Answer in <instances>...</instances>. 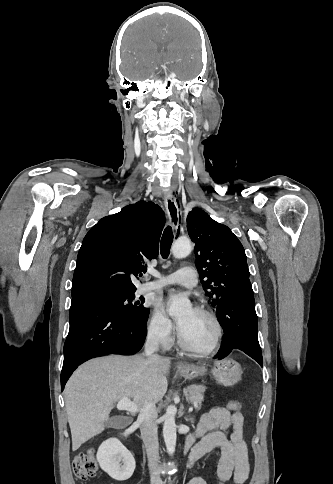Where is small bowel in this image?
Segmentation results:
<instances>
[{"label":"small bowel","mask_w":333,"mask_h":484,"mask_svg":"<svg viewBox=\"0 0 333 484\" xmlns=\"http://www.w3.org/2000/svg\"><path fill=\"white\" fill-rule=\"evenodd\" d=\"M196 438L199 442L192 448L190 464L199 458L220 448L221 456L217 466L219 484L229 480L243 484L249 475L250 465L244 433V417L240 411H231L225 407H216L205 413L195 432L189 436L188 444ZM187 484H207L200 477Z\"/></svg>","instance_id":"1"}]
</instances>
